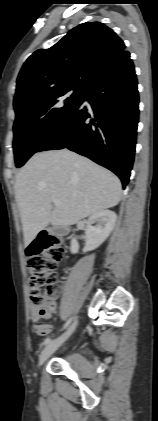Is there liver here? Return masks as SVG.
Instances as JSON below:
<instances>
[{
  "label": "liver",
  "mask_w": 158,
  "mask_h": 421,
  "mask_svg": "<svg viewBox=\"0 0 158 421\" xmlns=\"http://www.w3.org/2000/svg\"><path fill=\"white\" fill-rule=\"evenodd\" d=\"M121 194L116 175L68 149L34 154L15 182L25 246L48 224H76L116 206ZM54 200H59L60 205L53 209Z\"/></svg>",
  "instance_id": "obj_1"
}]
</instances>
